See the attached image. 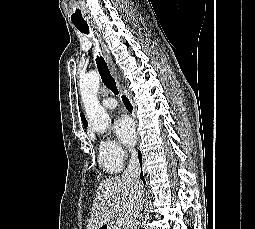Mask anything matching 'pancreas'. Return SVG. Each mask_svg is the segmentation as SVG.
I'll return each instance as SVG.
<instances>
[{
    "label": "pancreas",
    "mask_w": 255,
    "mask_h": 229,
    "mask_svg": "<svg viewBox=\"0 0 255 229\" xmlns=\"http://www.w3.org/2000/svg\"><path fill=\"white\" fill-rule=\"evenodd\" d=\"M113 229H124V228H121L119 226H114Z\"/></svg>",
    "instance_id": "cf45deb5"
}]
</instances>
